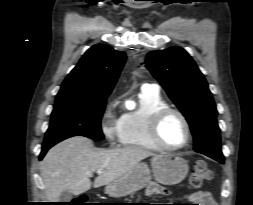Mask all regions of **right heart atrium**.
<instances>
[{
	"instance_id": "obj_1",
	"label": "right heart atrium",
	"mask_w": 253,
	"mask_h": 205,
	"mask_svg": "<svg viewBox=\"0 0 253 205\" xmlns=\"http://www.w3.org/2000/svg\"><path fill=\"white\" fill-rule=\"evenodd\" d=\"M101 131L109 143H114L119 138L120 118L114 114V103H108L101 115Z\"/></svg>"
}]
</instances>
